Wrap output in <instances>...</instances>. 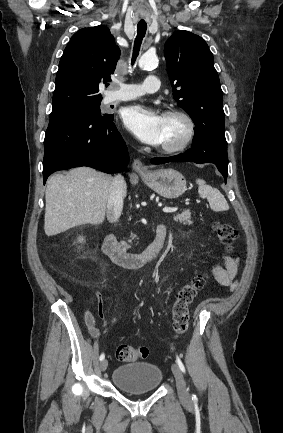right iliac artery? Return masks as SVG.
<instances>
[{"label":"right iliac artery","instance_id":"1","mask_svg":"<svg viewBox=\"0 0 283 433\" xmlns=\"http://www.w3.org/2000/svg\"><path fill=\"white\" fill-rule=\"evenodd\" d=\"M104 358H105V354L102 353V354L100 355V361H102Z\"/></svg>","mask_w":283,"mask_h":433}]
</instances>
